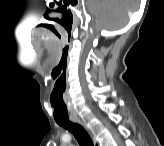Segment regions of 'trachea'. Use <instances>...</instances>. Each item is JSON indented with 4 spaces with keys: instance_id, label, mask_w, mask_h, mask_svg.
I'll return each mask as SVG.
<instances>
[{
    "instance_id": "1",
    "label": "trachea",
    "mask_w": 164,
    "mask_h": 146,
    "mask_svg": "<svg viewBox=\"0 0 164 146\" xmlns=\"http://www.w3.org/2000/svg\"><path fill=\"white\" fill-rule=\"evenodd\" d=\"M57 124L71 132L80 146H93V142L89 134L81 125L70 121H57Z\"/></svg>"
}]
</instances>
